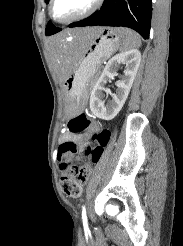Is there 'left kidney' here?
<instances>
[{
	"label": "left kidney",
	"mask_w": 183,
	"mask_h": 246,
	"mask_svg": "<svg viewBox=\"0 0 183 246\" xmlns=\"http://www.w3.org/2000/svg\"><path fill=\"white\" fill-rule=\"evenodd\" d=\"M140 62L141 53L137 49L123 51L108 61L90 96V109L96 117L111 120L119 113L128 97ZM121 64H126L124 75L120 81L116 82V93L111 94L113 100L105 105L102 94L104 85L108 79L114 78Z\"/></svg>",
	"instance_id": "1"
}]
</instances>
